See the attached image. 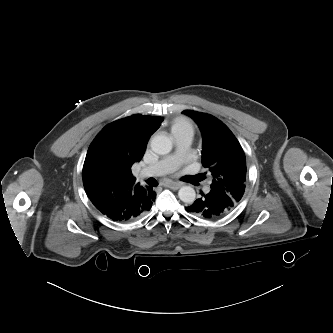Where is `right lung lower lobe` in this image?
Masks as SVG:
<instances>
[{"mask_svg": "<svg viewBox=\"0 0 333 333\" xmlns=\"http://www.w3.org/2000/svg\"><path fill=\"white\" fill-rule=\"evenodd\" d=\"M93 205L105 216L117 222L133 221L150 210L156 193L140 184L87 193Z\"/></svg>", "mask_w": 333, "mask_h": 333, "instance_id": "obj_1", "label": "right lung lower lobe"}]
</instances>
